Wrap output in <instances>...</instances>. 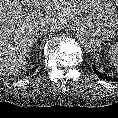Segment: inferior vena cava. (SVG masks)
Returning <instances> with one entry per match:
<instances>
[{
  "instance_id": "inferior-vena-cava-1",
  "label": "inferior vena cava",
  "mask_w": 118,
  "mask_h": 118,
  "mask_svg": "<svg viewBox=\"0 0 118 118\" xmlns=\"http://www.w3.org/2000/svg\"><path fill=\"white\" fill-rule=\"evenodd\" d=\"M60 24L50 18H43L39 21L38 27L40 34H45L47 32H54L60 28Z\"/></svg>"
}]
</instances>
